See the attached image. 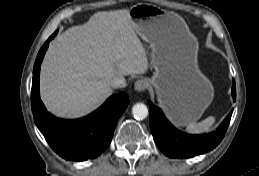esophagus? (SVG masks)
I'll return each instance as SVG.
<instances>
[{"label":"esophagus","mask_w":259,"mask_h":176,"mask_svg":"<svg viewBox=\"0 0 259 176\" xmlns=\"http://www.w3.org/2000/svg\"><path fill=\"white\" fill-rule=\"evenodd\" d=\"M148 86V82L146 80L140 79L137 80L134 84V88L138 92L144 91Z\"/></svg>","instance_id":"34e87169"}]
</instances>
